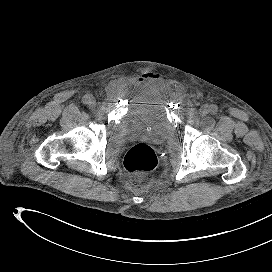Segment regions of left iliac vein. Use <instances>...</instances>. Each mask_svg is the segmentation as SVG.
I'll return each mask as SVG.
<instances>
[{
  "mask_svg": "<svg viewBox=\"0 0 272 272\" xmlns=\"http://www.w3.org/2000/svg\"><path fill=\"white\" fill-rule=\"evenodd\" d=\"M209 112V109L207 106H203L201 109H200V115L201 116H206Z\"/></svg>",
  "mask_w": 272,
  "mask_h": 272,
  "instance_id": "1",
  "label": "left iliac vein"
}]
</instances>
